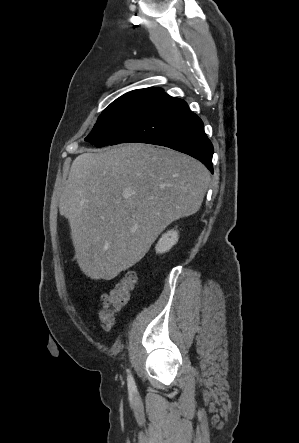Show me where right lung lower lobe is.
<instances>
[{"label":"right lung lower lobe","mask_w":299,"mask_h":443,"mask_svg":"<svg viewBox=\"0 0 299 443\" xmlns=\"http://www.w3.org/2000/svg\"><path fill=\"white\" fill-rule=\"evenodd\" d=\"M148 143L186 153L213 173V145L203 130L202 120L187 103L163 93L110 145Z\"/></svg>","instance_id":"obj_1"}]
</instances>
